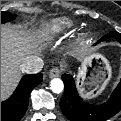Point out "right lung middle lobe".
Masks as SVG:
<instances>
[{
	"label": "right lung middle lobe",
	"instance_id": "right-lung-middle-lobe-1",
	"mask_svg": "<svg viewBox=\"0 0 121 121\" xmlns=\"http://www.w3.org/2000/svg\"><path fill=\"white\" fill-rule=\"evenodd\" d=\"M16 17V15H12L9 12H1V23H6L11 20H13Z\"/></svg>",
	"mask_w": 121,
	"mask_h": 121
}]
</instances>
